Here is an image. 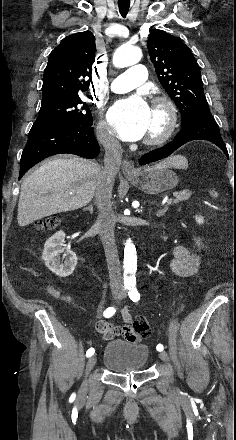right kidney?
Listing matches in <instances>:
<instances>
[{
	"instance_id": "right-kidney-1",
	"label": "right kidney",
	"mask_w": 236,
	"mask_h": 440,
	"mask_svg": "<svg viewBox=\"0 0 236 440\" xmlns=\"http://www.w3.org/2000/svg\"><path fill=\"white\" fill-rule=\"evenodd\" d=\"M65 233L58 231L50 237L42 253V259L48 269L59 277L71 275L77 265V256L71 249L63 248ZM63 253L64 263L61 262L60 254Z\"/></svg>"
}]
</instances>
